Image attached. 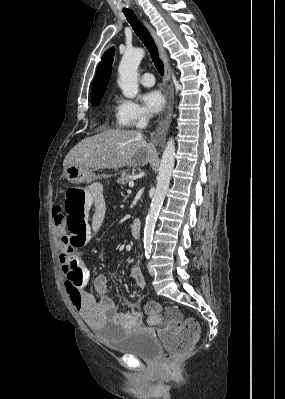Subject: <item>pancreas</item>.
<instances>
[{"label": "pancreas", "instance_id": "obj_1", "mask_svg": "<svg viewBox=\"0 0 285 399\" xmlns=\"http://www.w3.org/2000/svg\"><path fill=\"white\" fill-rule=\"evenodd\" d=\"M131 179L132 176L129 173H127L126 171H122L121 176L118 178L117 182L121 185H126Z\"/></svg>", "mask_w": 285, "mask_h": 399}]
</instances>
